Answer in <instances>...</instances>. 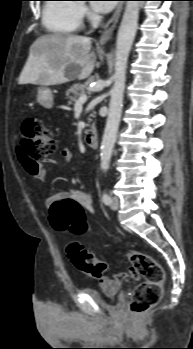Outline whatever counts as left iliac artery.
<instances>
[{
  "mask_svg": "<svg viewBox=\"0 0 193 349\" xmlns=\"http://www.w3.org/2000/svg\"><path fill=\"white\" fill-rule=\"evenodd\" d=\"M102 201L104 202L105 205H109V204L111 203V198H110V196L107 194V192H104V193H103Z\"/></svg>",
  "mask_w": 193,
  "mask_h": 349,
  "instance_id": "left-iliac-artery-1",
  "label": "left iliac artery"
}]
</instances>
